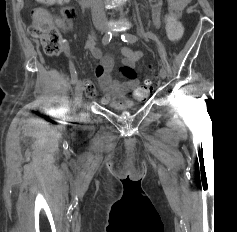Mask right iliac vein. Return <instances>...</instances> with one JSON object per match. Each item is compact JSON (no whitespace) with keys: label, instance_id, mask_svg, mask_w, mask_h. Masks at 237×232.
<instances>
[{"label":"right iliac vein","instance_id":"obj_1","mask_svg":"<svg viewBox=\"0 0 237 232\" xmlns=\"http://www.w3.org/2000/svg\"><path fill=\"white\" fill-rule=\"evenodd\" d=\"M98 30L103 32L105 30V26H99ZM82 95H83V86H82V82L79 80V81H77V84L75 87V101H76L77 105L81 104Z\"/></svg>","mask_w":237,"mask_h":232}]
</instances>
